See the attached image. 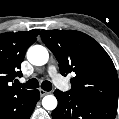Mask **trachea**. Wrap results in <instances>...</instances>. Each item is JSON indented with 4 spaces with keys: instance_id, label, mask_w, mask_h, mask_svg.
<instances>
[{
    "instance_id": "1",
    "label": "trachea",
    "mask_w": 119,
    "mask_h": 119,
    "mask_svg": "<svg viewBox=\"0 0 119 119\" xmlns=\"http://www.w3.org/2000/svg\"><path fill=\"white\" fill-rule=\"evenodd\" d=\"M19 86L27 88V89H35V88L39 87V82H38L37 79L33 78V79H30L29 81H27L24 84L19 83ZM41 88L45 91H51L52 84L49 81H43L42 84H41Z\"/></svg>"
}]
</instances>
